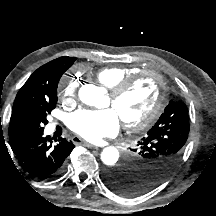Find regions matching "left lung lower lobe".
<instances>
[{
	"mask_svg": "<svg viewBox=\"0 0 216 216\" xmlns=\"http://www.w3.org/2000/svg\"><path fill=\"white\" fill-rule=\"evenodd\" d=\"M129 173V165L125 163L116 169L108 171L104 176V181L107 186L116 193L127 197H133L136 196L131 194L132 191H134V186L130 183H124V178Z\"/></svg>",
	"mask_w": 216,
	"mask_h": 216,
	"instance_id": "1",
	"label": "left lung lower lobe"
}]
</instances>
